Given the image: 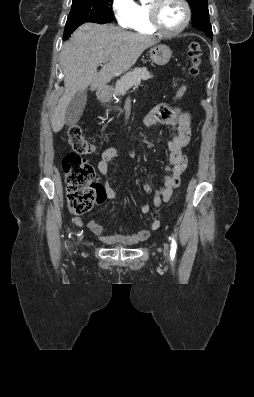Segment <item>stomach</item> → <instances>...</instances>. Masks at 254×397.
<instances>
[{"label":"stomach","instance_id":"1","mask_svg":"<svg viewBox=\"0 0 254 397\" xmlns=\"http://www.w3.org/2000/svg\"><path fill=\"white\" fill-rule=\"evenodd\" d=\"M149 53L152 62L161 66L167 64L172 55L171 49L163 44L152 47ZM100 99L103 102H107L110 99V95L108 93H102Z\"/></svg>","mask_w":254,"mask_h":397}]
</instances>
